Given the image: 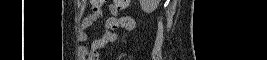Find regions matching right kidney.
I'll use <instances>...</instances> for the list:
<instances>
[{"label":"right kidney","mask_w":267,"mask_h":60,"mask_svg":"<svg viewBox=\"0 0 267 60\" xmlns=\"http://www.w3.org/2000/svg\"><path fill=\"white\" fill-rule=\"evenodd\" d=\"M160 0H140L141 9L150 14L155 11L159 5Z\"/></svg>","instance_id":"ca27d5eb"}]
</instances>
